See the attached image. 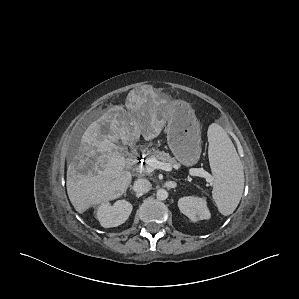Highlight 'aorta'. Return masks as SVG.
<instances>
[{
	"label": "aorta",
	"mask_w": 299,
	"mask_h": 299,
	"mask_svg": "<svg viewBox=\"0 0 299 299\" xmlns=\"http://www.w3.org/2000/svg\"><path fill=\"white\" fill-rule=\"evenodd\" d=\"M156 197L158 200H166L168 197V192L165 189L157 190Z\"/></svg>",
	"instance_id": "aorta-1"
}]
</instances>
